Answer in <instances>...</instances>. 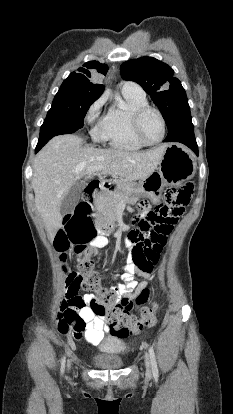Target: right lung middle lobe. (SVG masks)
Instances as JSON below:
<instances>
[{"label":"right lung middle lobe","instance_id":"1","mask_svg":"<svg viewBox=\"0 0 233 414\" xmlns=\"http://www.w3.org/2000/svg\"><path fill=\"white\" fill-rule=\"evenodd\" d=\"M98 98L95 93L61 85L47 118L58 119L82 128L89 107Z\"/></svg>","mask_w":233,"mask_h":414}]
</instances>
